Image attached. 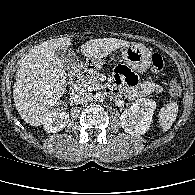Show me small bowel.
Returning <instances> with one entry per match:
<instances>
[{
	"mask_svg": "<svg viewBox=\"0 0 195 195\" xmlns=\"http://www.w3.org/2000/svg\"><path fill=\"white\" fill-rule=\"evenodd\" d=\"M123 90L128 97H141L152 93H159L162 87L149 81H139L138 77L127 67L118 66L115 69V84L111 92Z\"/></svg>",
	"mask_w": 195,
	"mask_h": 195,
	"instance_id": "small-bowel-1",
	"label": "small bowel"
}]
</instances>
